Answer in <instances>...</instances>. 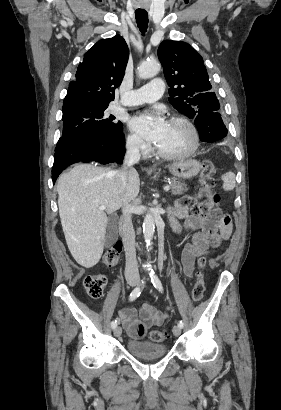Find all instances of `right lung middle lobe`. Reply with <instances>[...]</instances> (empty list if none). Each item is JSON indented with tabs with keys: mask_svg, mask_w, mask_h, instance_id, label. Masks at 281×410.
<instances>
[{
	"mask_svg": "<svg viewBox=\"0 0 281 410\" xmlns=\"http://www.w3.org/2000/svg\"><path fill=\"white\" fill-rule=\"evenodd\" d=\"M108 105L76 103L63 106V134L57 146L82 140L112 138L123 134L122 123L105 113Z\"/></svg>",
	"mask_w": 281,
	"mask_h": 410,
	"instance_id": "obj_1",
	"label": "right lung middle lobe"
}]
</instances>
